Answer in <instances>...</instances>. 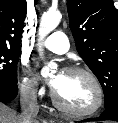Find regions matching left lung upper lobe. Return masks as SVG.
Segmentation results:
<instances>
[{"label": "left lung upper lobe", "instance_id": "left-lung-upper-lobe-1", "mask_svg": "<svg viewBox=\"0 0 118 123\" xmlns=\"http://www.w3.org/2000/svg\"><path fill=\"white\" fill-rule=\"evenodd\" d=\"M77 51L98 78L105 110L118 106V11L113 0H67Z\"/></svg>", "mask_w": 118, "mask_h": 123}]
</instances>
